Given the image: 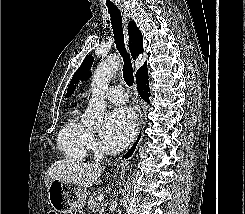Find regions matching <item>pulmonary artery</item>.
<instances>
[{"instance_id":"1","label":"pulmonary artery","mask_w":245,"mask_h":214,"mask_svg":"<svg viewBox=\"0 0 245 214\" xmlns=\"http://www.w3.org/2000/svg\"><path fill=\"white\" fill-rule=\"evenodd\" d=\"M105 98L115 104H124L128 100V95L122 88L111 86L105 91Z\"/></svg>"}]
</instances>
